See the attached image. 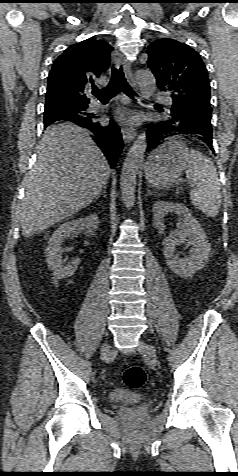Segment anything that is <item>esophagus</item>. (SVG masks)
Listing matches in <instances>:
<instances>
[{
	"instance_id": "34e87169",
	"label": "esophagus",
	"mask_w": 238,
	"mask_h": 476,
	"mask_svg": "<svg viewBox=\"0 0 238 476\" xmlns=\"http://www.w3.org/2000/svg\"><path fill=\"white\" fill-rule=\"evenodd\" d=\"M112 61L114 62V64L119 67L121 64L123 65V68H124V73H125V77L129 83V85L134 89V90H137V85H136V82L134 81L133 77H132V73H131V70H130V64L129 62L124 58V56L122 55V53H120L119 51H116L113 56H112ZM126 104H129V100H126ZM121 133H122V136H123V140L125 143H129L131 142L135 136H136V131L134 128L132 127H129V126H125L123 125L121 127Z\"/></svg>"
}]
</instances>
